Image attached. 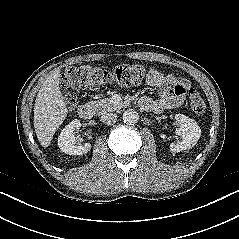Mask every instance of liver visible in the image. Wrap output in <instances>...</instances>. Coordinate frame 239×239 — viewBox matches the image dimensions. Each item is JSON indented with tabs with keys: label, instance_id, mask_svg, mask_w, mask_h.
I'll list each match as a JSON object with an SVG mask.
<instances>
[{
	"label": "liver",
	"instance_id": "1",
	"mask_svg": "<svg viewBox=\"0 0 239 239\" xmlns=\"http://www.w3.org/2000/svg\"><path fill=\"white\" fill-rule=\"evenodd\" d=\"M60 69H54L41 86L34 106V128L38 141L46 148L65 120L68 109L60 91Z\"/></svg>",
	"mask_w": 239,
	"mask_h": 239
}]
</instances>
